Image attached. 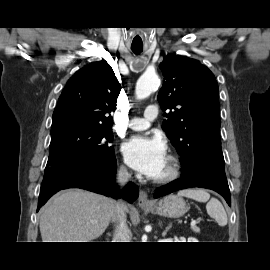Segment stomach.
<instances>
[{
	"instance_id": "obj_1",
	"label": "stomach",
	"mask_w": 270,
	"mask_h": 270,
	"mask_svg": "<svg viewBox=\"0 0 270 270\" xmlns=\"http://www.w3.org/2000/svg\"><path fill=\"white\" fill-rule=\"evenodd\" d=\"M154 214L177 218L187 212L186 202L179 195H168L150 207H143Z\"/></svg>"
}]
</instances>
